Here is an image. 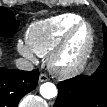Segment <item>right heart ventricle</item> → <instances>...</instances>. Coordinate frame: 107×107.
Segmentation results:
<instances>
[{
  "mask_svg": "<svg viewBox=\"0 0 107 107\" xmlns=\"http://www.w3.org/2000/svg\"><path fill=\"white\" fill-rule=\"evenodd\" d=\"M80 20L79 15L66 13L34 22L26 31V42L35 54L47 56Z\"/></svg>",
  "mask_w": 107,
  "mask_h": 107,
  "instance_id": "e07e8e85",
  "label": "right heart ventricle"
}]
</instances>
